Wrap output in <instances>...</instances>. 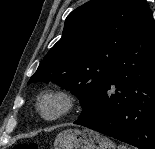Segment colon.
Masks as SVG:
<instances>
[{
  "label": "colon",
  "instance_id": "5ec220e1",
  "mask_svg": "<svg viewBox=\"0 0 155 149\" xmlns=\"http://www.w3.org/2000/svg\"><path fill=\"white\" fill-rule=\"evenodd\" d=\"M13 149H38V145L35 142L19 143L16 144Z\"/></svg>",
  "mask_w": 155,
  "mask_h": 149
}]
</instances>
